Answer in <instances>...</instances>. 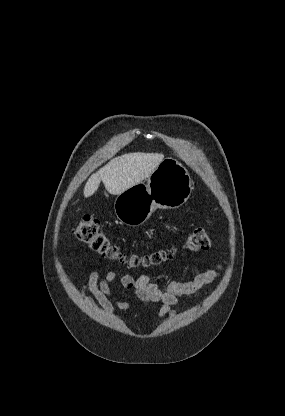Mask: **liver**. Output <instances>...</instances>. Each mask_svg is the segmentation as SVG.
Masks as SVG:
<instances>
[{
	"label": "liver",
	"instance_id": "liver-1",
	"mask_svg": "<svg viewBox=\"0 0 285 416\" xmlns=\"http://www.w3.org/2000/svg\"><path fill=\"white\" fill-rule=\"evenodd\" d=\"M163 160L164 154H142V152L113 158L99 172L90 176L83 194L85 198L93 196L102 180L107 192L112 196H118L149 178Z\"/></svg>",
	"mask_w": 285,
	"mask_h": 416
}]
</instances>
